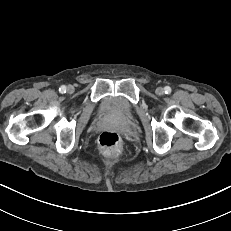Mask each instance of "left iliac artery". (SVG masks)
<instances>
[{
    "label": "left iliac artery",
    "mask_w": 231,
    "mask_h": 231,
    "mask_svg": "<svg viewBox=\"0 0 231 231\" xmlns=\"http://www.w3.org/2000/svg\"><path fill=\"white\" fill-rule=\"evenodd\" d=\"M164 92H165V94H170L171 93V88L169 86H166L164 88Z\"/></svg>",
    "instance_id": "left-iliac-artery-1"
}]
</instances>
